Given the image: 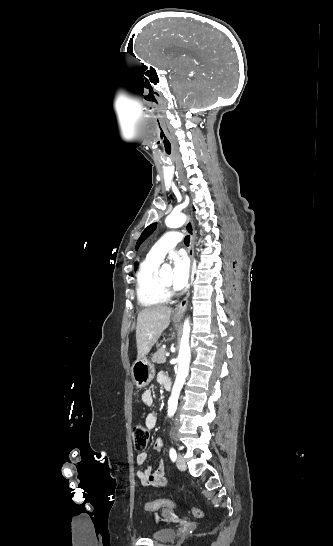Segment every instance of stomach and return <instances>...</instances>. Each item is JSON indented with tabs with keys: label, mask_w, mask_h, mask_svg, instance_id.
Segmentation results:
<instances>
[{
	"label": "stomach",
	"mask_w": 333,
	"mask_h": 546,
	"mask_svg": "<svg viewBox=\"0 0 333 546\" xmlns=\"http://www.w3.org/2000/svg\"><path fill=\"white\" fill-rule=\"evenodd\" d=\"M131 374L138 388L147 386L155 376L154 365L146 358H137L132 364Z\"/></svg>",
	"instance_id": "obj_1"
}]
</instances>
